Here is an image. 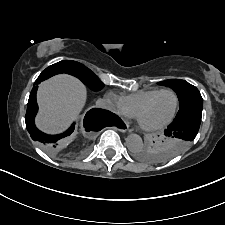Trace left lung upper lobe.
I'll return each instance as SVG.
<instances>
[{"instance_id":"1","label":"left lung upper lobe","mask_w":225,"mask_h":225,"mask_svg":"<svg viewBox=\"0 0 225 225\" xmlns=\"http://www.w3.org/2000/svg\"><path fill=\"white\" fill-rule=\"evenodd\" d=\"M159 84L171 87L177 93L180 109L176 117L190 111L203 109V99L199 90L187 81L180 79H169L161 81ZM176 144H184L185 149L190 142L181 138L166 136L157 147L141 153L139 156L145 161L162 162L177 155L176 151L173 149Z\"/></svg>"}]
</instances>
